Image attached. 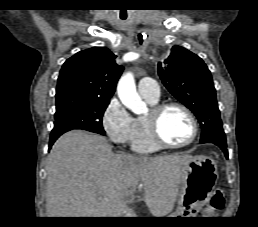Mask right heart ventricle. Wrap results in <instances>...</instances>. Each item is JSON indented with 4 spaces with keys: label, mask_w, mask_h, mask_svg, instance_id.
Returning <instances> with one entry per match:
<instances>
[{
    "label": "right heart ventricle",
    "mask_w": 258,
    "mask_h": 227,
    "mask_svg": "<svg viewBox=\"0 0 258 227\" xmlns=\"http://www.w3.org/2000/svg\"><path fill=\"white\" fill-rule=\"evenodd\" d=\"M145 99V98H144ZM149 104L155 105L157 101L145 99ZM136 134L131 142L132 150L137 153H152L159 149V146L153 141L146 121V117L140 116L135 119Z\"/></svg>",
    "instance_id": "obj_1"
}]
</instances>
